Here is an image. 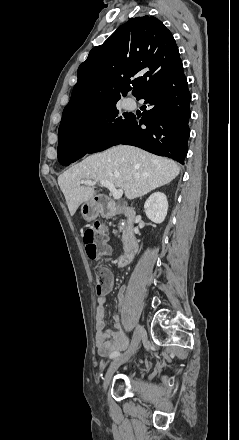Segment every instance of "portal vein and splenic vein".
I'll list each match as a JSON object with an SVG mask.
<instances>
[{
	"label": "portal vein and splenic vein",
	"mask_w": 239,
	"mask_h": 440,
	"mask_svg": "<svg viewBox=\"0 0 239 440\" xmlns=\"http://www.w3.org/2000/svg\"><path fill=\"white\" fill-rule=\"evenodd\" d=\"M79 184H85V186H95L97 182H95V180H81ZM99 184H102L104 188H108V190H110L114 200H120V198H122L123 190H116L114 184H111V182H104V180H101Z\"/></svg>",
	"instance_id": "18ae733b"
}]
</instances>
